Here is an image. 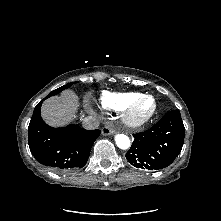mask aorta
I'll return each mask as SVG.
<instances>
[{
    "instance_id": "obj_1",
    "label": "aorta",
    "mask_w": 221,
    "mask_h": 221,
    "mask_svg": "<svg viewBox=\"0 0 221 221\" xmlns=\"http://www.w3.org/2000/svg\"><path fill=\"white\" fill-rule=\"evenodd\" d=\"M115 142L120 149L126 150L130 147L129 137L125 134H117L115 136Z\"/></svg>"
}]
</instances>
